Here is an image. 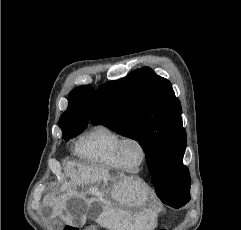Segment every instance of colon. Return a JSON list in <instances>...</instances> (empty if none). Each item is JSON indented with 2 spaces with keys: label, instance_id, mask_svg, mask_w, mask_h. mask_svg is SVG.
<instances>
[{
  "label": "colon",
  "instance_id": "colon-1",
  "mask_svg": "<svg viewBox=\"0 0 241 230\" xmlns=\"http://www.w3.org/2000/svg\"><path fill=\"white\" fill-rule=\"evenodd\" d=\"M63 230H78L77 228H74V227H65ZM83 230H88V229H83ZM161 230H165V229H161Z\"/></svg>",
  "mask_w": 241,
  "mask_h": 230
}]
</instances>
